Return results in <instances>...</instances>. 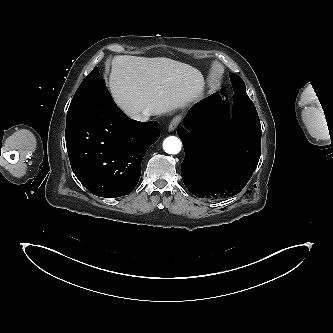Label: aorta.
Returning a JSON list of instances; mask_svg holds the SVG:
<instances>
[{
  "label": "aorta",
  "instance_id": "obj_1",
  "mask_svg": "<svg viewBox=\"0 0 333 333\" xmlns=\"http://www.w3.org/2000/svg\"><path fill=\"white\" fill-rule=\"evenodd\" d=\"M163 149L168 154H178L181 150V141L175 136H169L163 141Z\"/></svg>",
  "mask_w": 333,
  "mask_h": 333
}]
</instances>
